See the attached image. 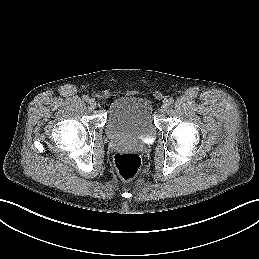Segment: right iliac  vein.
<instances>
[{
  "label": "right iliac vein",
  "instance_id": "1",
  "mask_svg": "<svg viewBox=\"0 0 259 259\" xmlns=\"http://www.w3.org/2000/svg\"><path fill=\"white\" fill-rule=\"evenodd\" d=\"M89 105H90V107L95 108L97 103L94 99H91V100H89Z\"/></svg>",
  "mask_w": 259,
  "mask_h": 259
}]
</instances>
